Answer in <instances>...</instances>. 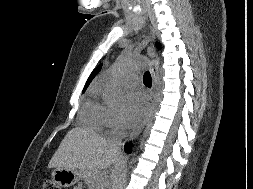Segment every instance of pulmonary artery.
<instances>
[{
    "label": "pulmonary artery",
    "instance_id": "pulmonary-artery-1",
    "mask_svg": "<svg viewBox=\"0 0 253 189\" xmlns=\"http://www.w3.org/2000/svg\"><path fill=\"white\" fill-rule=\"evenodd\" d=\"M137 80H138V78H137V76L134 75V74H130V75H128V76L126 77V82H127L128 84H136V83H137Z\"/></svg>",
    "mask_w": 253,
    "mask_h": 189
}]
</instances>
